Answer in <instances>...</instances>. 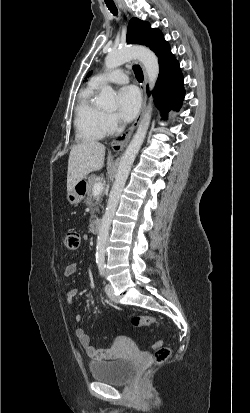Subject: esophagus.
Listing matches in <instances>:
<instances>
[{"label":"esophagus","instance_id":"34e87169","mask_svg":"<svg viewBox=\"0 0 250 413\" xmlns=\"http://www.w3.org/2000/svg\"><path fill=\"white\" fill-rule=\"evenodd\" d=\"M145 105H146V97H143V102H142V107H141V113L140 115L135 119L134 123L132 124L130 130L128 131V133L126 134L125 140L124 141H118V140H114L112 142V149L115 152H119L123 149V147L127 144V142L129 141V139L131 138V135L133 134V131L137 128V126L139 125L140 121H141V117L143 114V111L145 109Z\"/></svg>","mask_w":250,"mask_h":413}]
</instances>
